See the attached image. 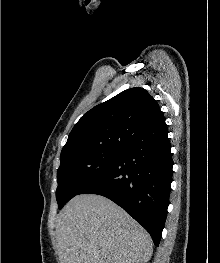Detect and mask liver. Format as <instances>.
Masks as SVG:
<instances>
[{
	"label": "liver",
	"instance_id": "obj_1",
	"mask_svg": "<svg viewBox=\"0 0 220 263\" xmlns=\"http://www.w3.org/2000/svg\"><path fill=\"white\" fill-rule=\"evenodd\" d=\"M55 227L60 263H146L152 256L148 232L100 195L72 198Z\"/></svg>",
	"mask_w": 220,
	"mask_h": 263
}]
</instances>
